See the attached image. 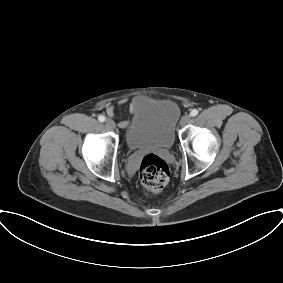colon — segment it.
Segmentation results:
<instances>
[{
    "mask_svg": "<svg viewBox=\"0 0 283 283\" xmlns=\"http://www.w3.org/2000/svg\"><path fill=\"white\" fill-rule=\"evenodd\" d=\"M170 171L168 165L154 154L146 155L140 164L139 179L148 193L161 191L168 183Z\"/></svg>",
    "mask_w": 283,
    "mask_h": 283,
    "instance_id": "colon-1",
    "label": "colon"
}]
</instances>
